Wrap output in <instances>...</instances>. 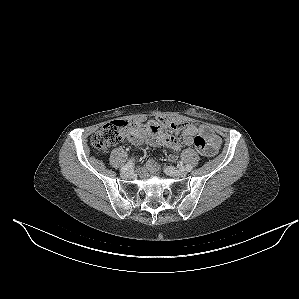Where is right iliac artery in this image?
I'll use <instances>...</instances> for the list:
<instances>
[{
    "instance_id": "82829eb1",
    "label": "right iliac artery",
    "mask_w": 299,
    "mask_h": 299,
    "mask_svg": "<svg viewBox=\"0 0 299 299\" xmlns=\"http://www.w3.org/2000/svg\"><path fill=\"white\" fill-rule=\"evenodd\" d=\"M134 163L132 160H130L129 162H127V164H125L121 169L120 171L121 172H126L128 171L129 169H131L133 167Z\"/></svg>"
}]
</instances>
